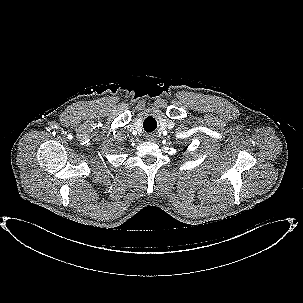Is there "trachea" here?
<instances>
[{"mask_svg":"<svg viewBox=\"0 0 303 303\" xmlns=\"http://www.w3.org/2000/svg\"><path fill=\"white\" fill-rule=\"evenodd\" d=\"M156 126V121L152 117H148L145 119L143 123V127L146 131H152V129Z\"/></svg>","mask_w":303,"mask_h":303,"instance_id":"obj_1","label":"trachea"}]
</instances>
